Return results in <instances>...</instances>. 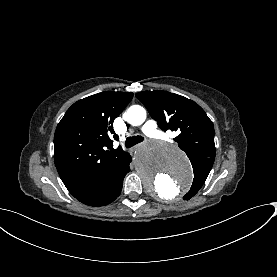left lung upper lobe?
Instances as JSON below:
<instances>
[{"instance_id":"obj_1","label":"left lung upper lobe","mask_w":277,"mask_h":277,"mask_svg":"<svg viewBox=\"0 0 277 277\" xmlns=\"http://www.w3.org/2000/svg\"><path fill=\"white\" fill-rule=\"evenodd\" d=\"M136 97L162 130L179 132L174 140L189 157L194 172L191 189L183 197L189 200L202 187L214 163L212 121L197 103L178 94L161 90L142 91Z\"/></svg>"}]
</instances>
